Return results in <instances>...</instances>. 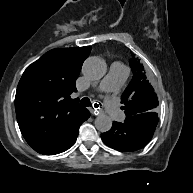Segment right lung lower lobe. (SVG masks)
<instances>
[{
  "label": "right lung lower lobe",
  "instance_id": "obj_1",
  "mask_svg": "<svg viewBox=\"0 0 193 193\" xmlns=\"http://www.w3.org/2000/svg\"><path fill=\"white\" fill-rule=\"evenodd\" d=\"M90 114L89 111L87 110V113L85 116L78 122V124L68 133L66 137H64L61 141L58 143L51 145V146H46L42 147L39 149H36L37 152L45 155H54L58 154L61 152L66 151L69 149L76 141L78 132H79V127L80 125L89 118Z\"/></svg>",
  "mask_w": 193,
  "mask_h": 193
}]
</instances>
